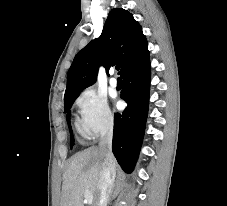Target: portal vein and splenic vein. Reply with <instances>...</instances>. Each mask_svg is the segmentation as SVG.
Wrapping results in <instances>:
<instances>
[{
    "label": "portal vein and splenic vein",
    "mask_w": 227,
    "mask_h": 206,
    "mask_svg": "<svg viewBox=\"0 0 227 206\" xmlns=\"http://www.w3.org/2000/svg\"><path fill=\"white\" fill-rule=\"evenodd\" d=\"M84 197H85V200L88 202V203H92L93 202V194L89 191H85L84 192Z\"/></svg>",
    "instance_id": "obj_1"
}]
</instances>
